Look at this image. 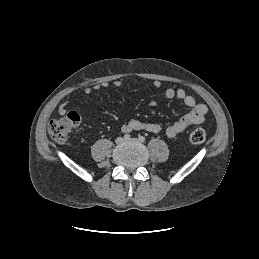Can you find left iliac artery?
<instances>
[{
  "mask_svg": "<svg viewBox=\"0 0 259 259\" xmlns=\"http://www.w3.org/2000/svg\"><path fill=\"white\" fill-rule=\"evenodd\" d=\"M139 141L140 142H144L145 141V137L144 136H139Z\"/></svg>",
  "mask_w": 259,
  "mask_h": 259,
  "instance_id": "1",
  "label": "left iliac artery"
}]
</instances>
